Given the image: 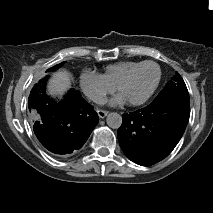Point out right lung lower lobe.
<instances>
[{
    "label": "right lung lower lobe",
    "mask_w": 213,
    "mask_h": 213,
    "mask_svg": "<svg viewBox=\"0 0 213 213\" xmlns=\"http://www.w3.org/2000/svg\"><path fill=\"white\" fill-rule=\"evenodd\" d=\"M46 81L41 80L28 98L34 132L49 151L59 155L72 153L86 142L99 117L74 89L61 101L47 96Z\"/></svg>",
    "instance_id": "obj_1"
}]
</instances>
